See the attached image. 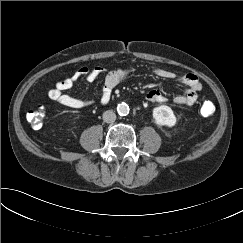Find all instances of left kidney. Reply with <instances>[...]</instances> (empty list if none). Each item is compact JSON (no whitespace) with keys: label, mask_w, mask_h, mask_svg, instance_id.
<instances>
[{"label":"left kidney","mask_w":243,"mask_h":243,"mask_svg":"<svg viewBox=\"0 0 243 243\" xmlns=\"http://www.w3.org/2000/svg\"><path fill=\"white\" fill-rule=\"evenodd\" d=\"M153 118L159 126L173 127L176 124V116L173 110L166 105H161L153 109Z\"/></svg>","instance_id":"1"}]
</instances>
